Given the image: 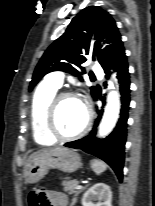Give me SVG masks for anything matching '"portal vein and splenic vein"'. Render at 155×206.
Returning a JSON list of instances; mask_svg holds the SVG:
<instances>
[{"label":"portal vein and splenic vein","instance_id":"18ae733b","mask_svg":"<svg viewBox=\"0 0 155 206\" xmlns=\"http://www.w3.org/2000/svg\"><path fill=\"white\" fill-rule=\"evenodd\" d=\"M82 188V185H77L76 186V189H81Z\"/></svg>","mask_w":155,"mask_h":206}]
</instances>
